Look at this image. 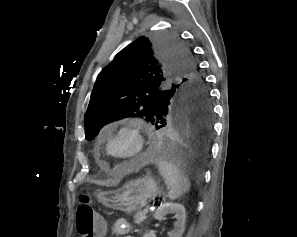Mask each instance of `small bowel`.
<instances>
[{"label":"small bowel","instance_id":"1","mask_svg":"<svg viewBox=\"0 0 297 237\" xmlns=\"http://www.w3.org/2000/svg\"><path fill=\"white\" fill-rule=\"evenodd\" d=\"M107 232V228L101 224L100 233L98 237H104ZM113 232L121 237H132L129 235L130 224L125 219H118L113 224Z\"/></svg>","mask_w":297,"mask_h":237}]
</instances>
